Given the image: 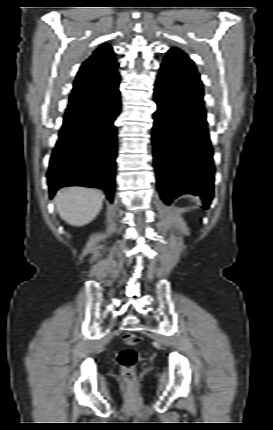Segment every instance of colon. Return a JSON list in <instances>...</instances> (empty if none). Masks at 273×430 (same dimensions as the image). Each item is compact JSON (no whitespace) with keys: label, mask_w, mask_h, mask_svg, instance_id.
I'll return each instance as SVG.
<instances>
[{"label":"colon","mask_w":273,"mask_h":430,"mask_svg":"<svg viewBox=\"0 0 273 430\" xmlns=\"http://www.w3.org/2000/svg\"><path fill=\"white\" fill-rule=\"evenodd\" d=\"M122 338L128 347L120 351L118 355V364L125 383L131 387L135 380L134 369L139 358L138 352L132 347L138 343L139 339L133 333H125Z\"/></svg>","instance_id":"5ec220e1"}]
</instances>
